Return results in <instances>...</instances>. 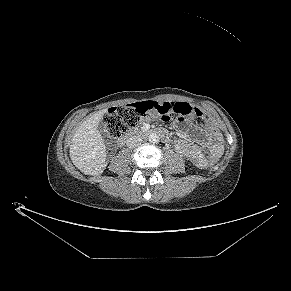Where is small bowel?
I'll return each instance as SVG.
<instances>
[{
	"label": "small bowel",
	"instance_id": "small-bowel-1",
	"mask_svg": "<svg viewBox=\"0 0 291 291\" xmlns=\"http://www.w3.org/2000/svg\"><path fill=\"white\" fill-rule=\"evenodd\" d=\"M173 126L180 136L174 143L177 152L195 166L199 168L206 167L208 159L204 150L209 151L210 157L218 158L222 154V137L219 130L213 124L208 123L205 126L196 144L188 142L185 138L190 128L189 122L180 118L173 122Z\"/></svg>",
	"mask_w": 291,
	"mask_h": 291
}]
</instances>
